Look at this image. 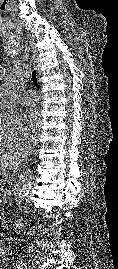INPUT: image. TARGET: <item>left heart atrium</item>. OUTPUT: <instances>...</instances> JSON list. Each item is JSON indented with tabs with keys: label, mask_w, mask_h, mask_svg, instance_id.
<instances>
[{
	"label": "left heart atrium",
	"mask_w": 118,
	"mask_h": 269,
	"mask_svg": "<svg viewBox=\"0 0 118 269\" xmlns=\"http://www.w3.org/2000/svg\"><path fill=\"white\" fill-rule=\"evenodd\" d=\"M41 114L37 106L31 107L25 115V121L27 126L33 130L36 131L41 123Z\"/></svg>",
	"instance_id": "1"
}]
</instances>
